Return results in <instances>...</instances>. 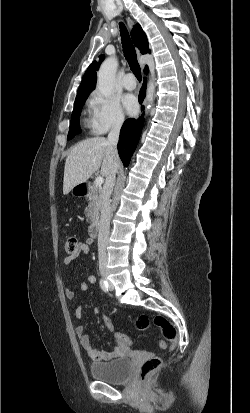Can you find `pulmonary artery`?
<instances>
[{
  "mask_svg": "<svg viewBox=\"0 0 250 413\" xmlns=\"http://www.w3.org/2000/svg\"><path fill=\"white\" fill-rule=\"evenodd\" d=\"M123 86L128 90H133L136 87V80L133 74L128 73L122 80Z\"/></svg>",
  "mask_w": 250,
  "mask_h": 413,
  "instance_id": "pulmonary-artery-1",
  "label": "pulmonary artery"
}]
</instances>
